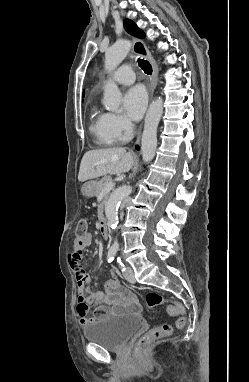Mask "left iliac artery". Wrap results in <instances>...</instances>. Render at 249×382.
Masks as SVG:
<instances>
[{
    "label": "left iliac artery",
    "mask_w": 249,
    "mask_h": 382,
    "mask_svg": "<svg viewBox=\"0 0 249 382\" xmlns=\"http://www.w3.org/2000/svg\"><path fill=\"white\" fill-rule=\"evenodd\" d=\"M117 262L120 264V266H121V268H122V271H125L126 268L124 267V264L121 262V259H120V258L117 259Z\"/></svg>",
    "instance_id": "left-iliac-artery-1"
}]
</instances>
